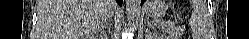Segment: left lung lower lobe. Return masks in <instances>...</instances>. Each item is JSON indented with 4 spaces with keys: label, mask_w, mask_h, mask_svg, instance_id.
<instances>
[{
    "label": "left lung lower lobe",
    "mask_w": 249,
    "mask_h": 39,
    "mask_svg": "<svg viewBox=\"0 0 249 39\" xmlns=\"http://www.w3.org/2000/svg\"><path fill=\"white\" fill-rule=\"evenodd\" d=\"M145 0H141V5L144 3Z\"/></svg>",
    "instance_id": "1"
}]
</instances>
